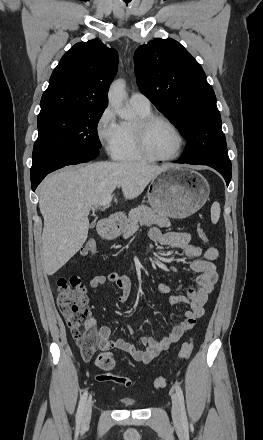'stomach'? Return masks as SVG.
Masks as SVG:
<instances>
[{
	"instance_id": "0dacf381",
	"label": "stomach",
	"mask_w": 263,
	"mask_h": 440,
	"mask_svg": "<svg viewBox=\"0 0 263 440\" xmlns=\"http://www.w3.org/2000/svg\"><path fill=\"white\" fill-rule=\"evenodd\" d=\"M209 184L198 172L187 167L167 169L151 183L148 201L152 209L166 217L184 219L196 213L207 201ZM123 230L115 228L111 237Z\"/></svg>"
}]
</instances>
